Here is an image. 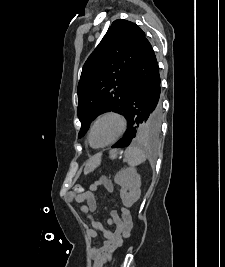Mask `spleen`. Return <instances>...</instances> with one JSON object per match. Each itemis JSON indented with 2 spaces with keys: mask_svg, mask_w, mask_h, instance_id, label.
Listing matches in <instances>:
<instances>
[{
  "mask_svg": "<svg viewBox=\"0 0 225 267\" xmlns=\"http://www.w3.org/2000/svg\"><path fill=\"white\" fill-rule=\"evenodd\" d=\"M125 158L127 159L129 166L135 167L143 163L147 156L140 148L136 146H129L125 150Z\"/></svg>",
  "mask_w": 225,
  "mask_h": 267,
  "instance_id": "obj_1",
  "label": "spleen"
}]
</instances>
